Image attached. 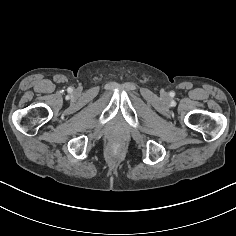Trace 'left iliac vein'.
<instances>
[{
  "instance_id": "obj_1",
  "label": "left iliac vein",
  "mask_w": 236,
  "mask_h": 236,
  "mask_svg": "<svg viewBox=\"0 0 236 236\" xmlns=\"http://www.w3.org/2000/svg\"><path fill=\"white\" fill-rule=\"evenodd\" d=\"M161 95H162L163 97H165V96L167 95V93H166L165 91H162V92H161Z\"/></svg>"
}]
</instances>
